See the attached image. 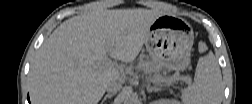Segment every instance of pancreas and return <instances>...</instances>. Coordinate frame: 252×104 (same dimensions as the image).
<instances>
[{"label": "pancreas", "instance_id": "cf45deb5", "mask_svg": "<svg viewBox=\"0 0 252 104\" xmlns=\"http://www.w3.org/2000/svg\"><path fill=\"white\" fill-rule=\"evenodd\" d=\"M139 70L147 73L150 75V80L153 81L154 83L160 84L161 82L164 81L163 75L160 74L161 71V66L156 64L155 62H150V61H142L139 64ZM176 78V76H172L168 78V81L171 82Z\"/></svg>", "mask_w": 252, "mask_h": 104}]
</instances>
